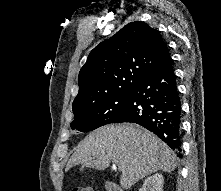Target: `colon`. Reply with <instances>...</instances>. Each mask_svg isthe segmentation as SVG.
<instances>
[{
    "label": "colon",
    "instance_id": "1",
    "mask_svg": "<svg viewBox=\"0 0 221 191\" xmlns=\"http://www.w3.org/2000/svg\"><path fill=\"white\" fill-rule=\"evenodd\" d=\"M72 191H93L91 188L86 186H76Z\"/></svg>",
    "mask_w": 221,
    "mask_h": 191
}]
</instances>
